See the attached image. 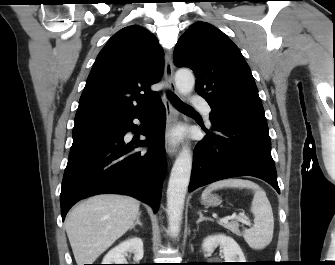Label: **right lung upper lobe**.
<instances>
[{
  "mask_svg": "<svg viewBox=\"0 0 335 265\" xmlns=\"http://www.w3.org/2000/svg\"><path fill=\"white\" fill-rule=\"evenodd\" d=\"M163 70V49L149 31L136 25L119 30L97 56L74 126L113 124L154 107L160 100L150 86Z\"/></svg>",
  "mask_w": 335,
  "mask_h": 265,
  "instance_id": "cb5924a9",
  "label": "right lung upper lobe"
}]
</instances>
